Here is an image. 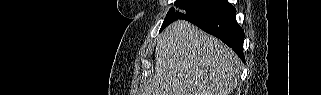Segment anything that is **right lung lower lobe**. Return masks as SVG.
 Masks as SVG:
<instances>
[{
    "label": "right lung lower lobe",
    "instance_id": "98d812e1",
    "mask_svg": "<svg viewBox=\"0 0 321 95\" xmlns=\"http://www.w3.org/2000/svg\"><path fill=\"white\" fill-rule=\"evenodd\" d=\"M236 10L227 0H214L184 18L222 40L243 60L244 31L237 24Z\"/></svg>",
    "mask_w": 321,
    "mask_h": 95
}]
</instances>
